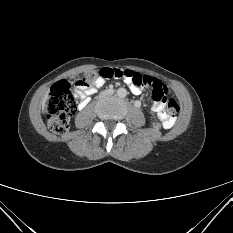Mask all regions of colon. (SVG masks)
Wrapping results in <instances>:
<instances>
[{"label":"colon","mask_w":233,"mask_h":233,"mask_svg":"<svg viewBox=\"0 0 233 233\" xmlns=\"http://www.w3.org/2000/svg\"><path fill=\"white\" fill-rule=\"evenodd\" d=\"M99 78H123L138 88L151 89L153 102L163 104L164 111L170 119H173L179 111L177 101L173 98H167L166 87L162 82L131 70L102 68L98 71H90L83 77L77 78L76 85L77 87L86 88ZM75 108L76 102L70 84L65 80L55 83L45 106L49 129L55 134L65 133L69 128V116L75 111ZM153 127L160 129L165 127V123L156 121L153 123Z\"/></svg>","instance_id":"colon-1"}]
</instances>
